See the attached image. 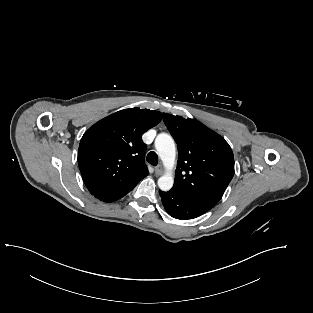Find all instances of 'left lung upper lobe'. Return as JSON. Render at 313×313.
<instances>
[{
	"label": "left lung upper lobe",
	"instance_id": "obj_1",
	"mask_svg": "<svg viewBox=\"0 0 313 313\" xmlns=\"http://www.w3.org/2000/svg\"><path fill=\"white\" fill-rule=\"evenodd\" d=\"M178 146L172 191L214 207L234 175L231 147L216 132L194 119L163 113Z\"/></svg>",
	"mask_w": 313,
	"mask_h": 313
}]
</instances>
